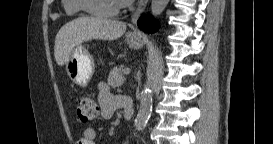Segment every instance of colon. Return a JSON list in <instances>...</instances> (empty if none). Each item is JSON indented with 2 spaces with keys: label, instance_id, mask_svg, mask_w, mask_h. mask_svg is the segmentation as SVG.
<instances>
[{
  "label": "colon",
  "instance_id": "colon-1",
  "mask_svg": "<svg viewBox=\"0 0 273 144\" xmlns=\"http://www.w3.org/2000/svg\"><path fill=\"white\" fill-rule=\"evenodd\" d=\"M99 112L97 102L88 95H82L77 103V118L80 123L86 124L93 120Z\"/></svg>",
  "mask_w": 273,
  "mask_h": 144
}]
</instances>
